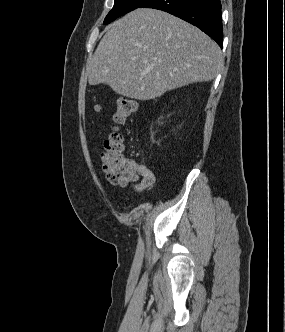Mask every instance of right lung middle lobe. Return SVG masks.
<instances>
[{
    "label": "right lung middle lobe",
    "instance_id": "1",
    "mask_svg": "<svg viewBox=\"0 0 285 332\" xmlns=\"http://www.w3.org/2000/svg\"><path fill=\"white\" fill-rule=\"evenodd\" d=\"M145 1L146 0H115L112 10L104 20V24H108L116 18L138 8Z\"/></svg>",
    "mask_w": 285,
    "mask_h": 332
}]
</instances>
